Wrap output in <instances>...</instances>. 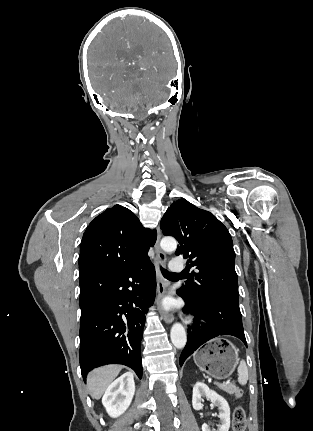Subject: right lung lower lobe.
<instances>
[{"instance_id":"obj_1","label":"right lung lower lobe","mask_w":313,"mask_h":431,"mask_svg":"<svg viewBox=\"0 0 313 431\" xmlns=\"http://www.w3.org/2000/svg\"><path fill=\"white\" fill-rule=\"evenodd\" d=\"M80 367L84 380L95 367L123 364L142 377L140 342L145 315L155 298L151 261L79 279Z\"/></svg>"}]
</instances>
